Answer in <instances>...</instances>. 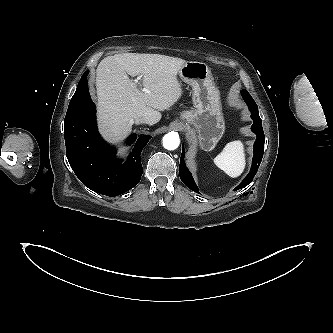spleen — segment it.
Returning <instances> with one entry per match:
<instances>
[{"mask_svg":"<svg viewBox=\"0 0 333 333\" xmlns=\"http://www.w3.org/2000/svg\"><path fill=\"white\" fill-rule=\"evenodd\" d=\"M214 163L228 176L232 178L240 176L246 164L243 143L240 140L227 143L215 157Z\"/></svg>","mask_w":333,"mask_h":333,"instance_id":"obj_1","label":"spleen"}]
</instances>
